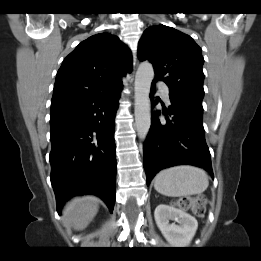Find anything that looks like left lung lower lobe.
Listing matches in <instances>:
<instances>
[{"label": "left lung lower lobe", "instance_id": "1", "mask_svg": "<svg viewBox=\"0 0 261 261\" xmlns=\"http://www.w3.org/2000/svg\"><path fill=\"white\" fill-rule=\"evenodd\" d=\"M156 81L151 85V105ZM171 105L163 110L171 119H160V111L152 113L151 128L145 140L144 169L147 185L162 169L175 165H194L213 176L209 148L205 141L202 103L182 94L169 93Z\"/></svg>", "mask_w": 261, "mask_h": 261}]
</instances>
